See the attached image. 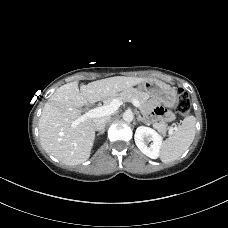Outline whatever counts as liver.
<instances>
[{
  "label": "liver",
  "instance_id": "liver-1",
  "mask_svg": "<svg viewBox=\"0 0 228 228\" xmlns=\"http://www.w3.org/2000/svg\"><path fill=\"white\" fill-rule=\"evenodd\" d=\"M146 80L115 76L90 82L80 89L77 81L59 87L45 104L39 119L41 146L63 164L75 166L85 162L95 140L94 119L72 127L71 122L81 115L79 108L88 102L114 97Z\"/></svg>",
  "mask_w": 228,
  "mask_h": 228
}]
</instances>
